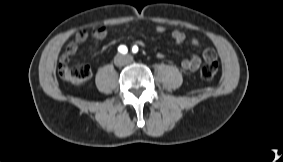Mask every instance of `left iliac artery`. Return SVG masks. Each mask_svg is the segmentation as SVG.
Returning <instances> with one entry per match:
<instances>
[{
  "label": "left iliac artery",
  "instance_id": "44dca946",
  "mask_svg": "<svg viewBox=\"0 0 283 162\" xmlns=\"http://www.w3.org/2000/svg\"><path fill=\"white\" fill-rule=\"evenodd\" d=\"M132 52L137 53L138 52V47L135 45L132 47Z\"/></svg>",
  "mask_w": 283,
  "mask_h": 162
}]
</instances>
